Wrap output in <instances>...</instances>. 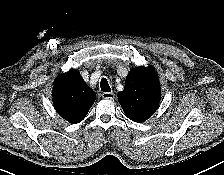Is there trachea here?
I'll list each match as a JSON object with an SVG mask.
<instances>
[{
  "instance_id": "3493384b",
  "label": "trachea",
  "mask_w": 224,
  "mask_h": 175,
  "mask_svg": "<svg viewBox=\"0 0 224 175\" xmlns=\"http://www.w3.org/2000/svg\"><path fill=\"white\" fill-rule=\"evenodd\" d=\"M101 91L103 92H111L110 85L106 78H102L100 82Z\"/></svg>"
}]
</instances>
